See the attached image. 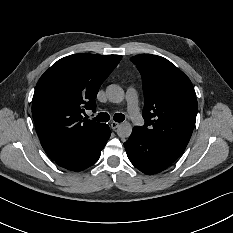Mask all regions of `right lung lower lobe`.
<instances>
[{
	"mask_svg": "<svg viewBox=\"0 0 233 233\" xmlns=\"http://www.w3.org/2000/svg\"><path fill=\"white\" fill-rule=\"evenodd\" d=\"M110 134L111 131L109 127L105 125L103 133L97 138L89 141L72 153L53 161L65 169L82 171L92 166L99 159L101 150L106 145Z\"/></svg>",
	"mask_w": 233,
	"mask_h": 233,
	"instance_id": "right-lung-lower-lobe-1",
	"label": "right lung lower lobe"
}]
</instances>
